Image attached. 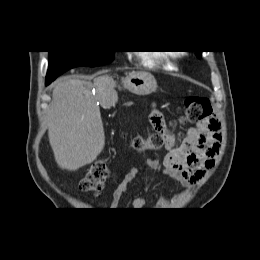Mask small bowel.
Segmentation results:
<instances>
[{
    "label": "small bowel",
    "instance_id": "1",
    "mask_svg": "<svg viewBox=\"0 0 260 260\" xmlns=\"http://www.w3.org/2000/svg\"><path fill=\"white\" fill-rule=\"evenodd\" d=\"M150 123L154 130L168 134V152L162 160L147 158L141 165L133 167L113 191L111 208L118 207L121 197L144 169L159 172L170 184L191 187L200 181L216 162L221 142L220 125L216 119L210 118L189 128L180 142L168 131L164 116L156 104L152 106ZM132 204L135 209H143L146 200L138 196Z\"/></svg>",
    "mask_w": 260,
    "mask_h": 260
}]
</instances>
